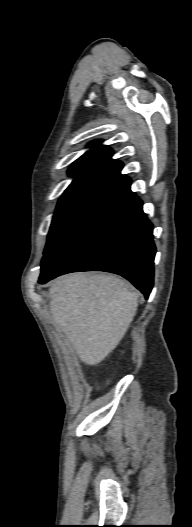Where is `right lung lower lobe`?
I'll use <instances>...</instances> for the list:
<instances>
[{
    "label": "right lung lower lobe",
    "instance_id": "1",
    "mask_svg": "<svg viewBox=\"0 0 192 527\" xmlns=\"http://www.w3.org/2000/svg\"><path fill=\"white\" fill-rule=\"evenodd\" d=\"M130 184L119 174L104 185L43 258L40 284L69 272L106 271L128 279L149 297L156 253L153 226Z\"/></svg>",
    "mask_w": 192,
    "mask_h": 527
}]
</instances>
